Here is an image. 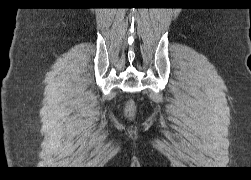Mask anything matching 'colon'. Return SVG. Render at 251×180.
<instances>
[{"mask_svg":"<svg viewBox=\"0 0 251 180\" xmlns=\"http://www.w3.org/2000/svg\"><path fill=\"white\" fill-rule=\"evenodd\" d=\"M135 111H136L135 104L132 101L128 102V104L126 106V110H125L126 115L128 117H132V116H134Z\"/></svg>","mask_w":251,"mask_h":180,"instance_id":"5ec220e1","label":"colon"}]
</instances>
